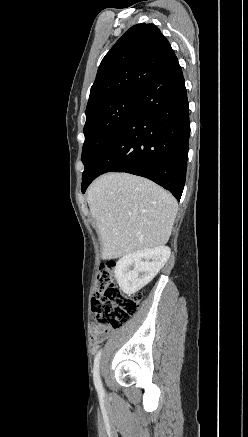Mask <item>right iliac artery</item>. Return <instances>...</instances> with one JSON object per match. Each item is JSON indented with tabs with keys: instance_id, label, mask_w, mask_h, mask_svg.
<instances>
[{
	"instance_id": "82829eb1",
	"label": "right iliac artery",
	"mask_w": 248,
	"mask_h": 437,
	"mask_svg": "<svg viewBox=\"0 0 248 437\" xmlns=\"http://www.w3.org/2000/svg\"><path fill=\"white\" fill-rule=\"evenodd\" d=\"M100 357H101V350L96 354L95 359H94L93 379H94V384H95V387L97 389L98 394L100 396H102L104 394V390L102 387L100 374H99Z\"/></svg>"
}]
</instances>
